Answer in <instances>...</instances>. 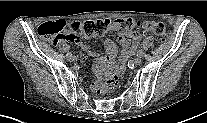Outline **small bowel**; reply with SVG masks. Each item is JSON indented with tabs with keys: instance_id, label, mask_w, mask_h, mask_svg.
Listing matches in <instances>:
<instances>
[{
	"instance_id": "1",
	"label": "small bowel",
	"mask_w": 207,
	"mask_h": 123,
	"mask_svg": "<svg viewBox=\"0 0 207 123\" xmlns=\"http://www.w3.org/2000/svg\"><path fill=\"white\" fill-rule=\"evenodd\" d=\"M110 31L119 33V41L123 45L122 61L125 62L134 54L136 48L138 47L141 34L139 32H123L114 25L111 27ZM65 33L66 38L69 33L66 30ZM69 41L76 42L89 56H99L88 44L83 41L82 38ZM104 47L106 49V54L102 59L108 63H112L117 56V45L114 41L106 39L104 42Z\"/></svg>"
}]
</instances>
